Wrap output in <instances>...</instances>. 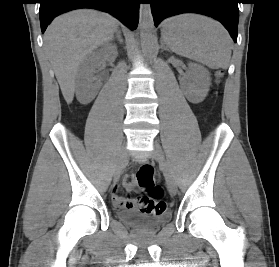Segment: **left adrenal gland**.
Instances as JSON below:
<instances>
[{
    "label": "left adrenal gland",
    "mask_w": 279,
    "mask_h": 267,
    "mask_svg": "<svg viewBox=\"0 0 279 267\" xmlns=\"http://www.w3.org/2000/svg\"><path fill=\"white\" fill-rule=\"evenodd\" d=\"M162 49H163V50H167V51H169V49H168L167 47H165V45H164V44H162Z\"/></svg>",
    "instance_id": "obj_1"
}]
</instances>
